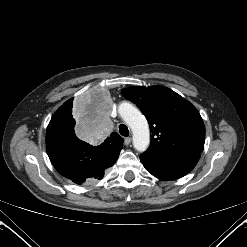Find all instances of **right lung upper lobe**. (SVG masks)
Returning <instances> with one entry per match:
<instances>
[{
  "instance_id": "right-lung-upper-lobe-1",
  "label": "right lung upper lobe",
  "mask_w": 247,
  "mask_h": 247,
  "mask_svg": "<svg viewBox=\"0 0 247 247\" xmlns=\"http://www.w3.org/2000/svg\"><path fill=\"white\" fill-rule=\"evenodd\" d=\"M73 104V98L69 99L68 101H66L64 103V105H62L52 116L51 121H50V125H56L55 124V119L56 116L58 114H60V112L69 109ZM105 145L111 146V147H118V148H122V144H123V139L117 134V133H112L110 137H108L104 143Z\"/></svg>"
}]
</instances>
